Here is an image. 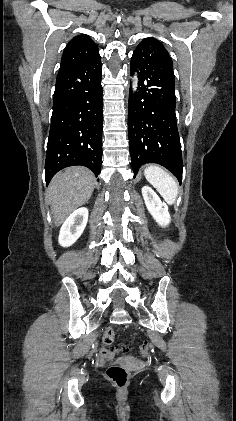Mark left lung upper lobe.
Instances as JSON below:
<instances>
[{
	"mask_svg": "<svg viewBox=\"0 0 236 421\" xmlns=\"http://www.w3.org/2000/svg\"><path fill=\"white\" fill-rule=\"evenodd\" d=\"M139 45H157L163 46L158 40L154 38H146Z\"/></svg>",
	"mask_w": 236,
	"mask_h": 421,
	"instance_id": "obj_1",
	"label": "left lung upper lobe"
}]
</instances>
